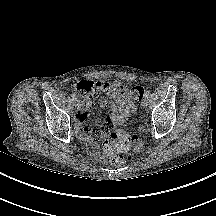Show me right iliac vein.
<instances>
[{"instance_id":"1","label":"right iliac vein","mask_w":216,"mask_h":216,"mask_svg":"<svg viewBox=\"0 0 216 216\" xmlns=\"http://www.w3.org/2000/svg\"><path fill=\"white\" fill-rule=\"evenodd\" d=\"M73 104L75 107H78L80 103L77 99H75V100H73Z\"/></svg>"}]
</instances>
